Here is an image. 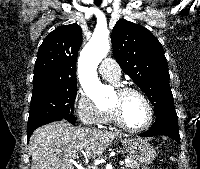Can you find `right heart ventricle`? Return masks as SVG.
Listing matches in <instances>:
<instances>
[{"label":"right heart ventricle","instance_id":"right-heart-ventricle-1","mask_svg":"<svg viewBox=\"0 0 200 169\" xmlns=\"http://www.w3.org/2000/svg\"><path fill=\"white\" fill-rule=\"evenodd\" d=\"M111 122H113L112 116H111L109 110H105L103 123H111Z\"/></svg>","mask_w":200,"mask_h":169}]
</instances>
